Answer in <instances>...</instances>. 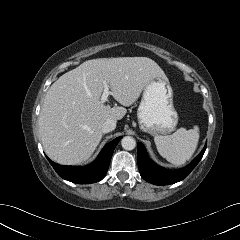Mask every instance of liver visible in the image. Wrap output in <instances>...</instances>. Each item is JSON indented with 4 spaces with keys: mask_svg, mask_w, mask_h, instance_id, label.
Returning <instances> with one entry per match:
<instances>
[{
    "mask_svg": "<svg viewBox=\"0 0 240 240\" xmlns=\"http://www.w3.org/2000/svg\"><path fill=\"white\" fill-rule=\"evenodd\" d=\"M156 77L166 78L147 57L92 59L63 74L47 91L38 119L47 156L64 165L89 159L102 138V124L122 119L124 107L132 105ZM104 81L124 107L101 103Z\"/></svg>",
    "mask_w": 240,
    "mask_h": 240,
    "instance_id": "6515ba94",
    "label": "liver"
}]
</instances>
